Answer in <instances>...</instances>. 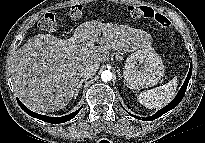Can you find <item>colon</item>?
Instances as JSON below:
<instances>
[{"mask_svg": "<svg viewBox=\"0 0 205 143\" xmlns=\"http://www.w3.org/2000/svg\"><path fill=\"white\" fill-rule=\"evenodd\" d=\"M128 12L133 18H147L154 20L162 27H169L170 20L161 13L155 12L152 8L140 5L128 6ZM83 6L73 5L68 10V17L72 20H78L82 17ZM39 26L42 30L53 31L56 29L57 21L53 13H46L39 21Z\"/></svg>", "mask_w": 205, "mask_h": 143, "instance_id": "1", "label": "colon"}]
</instances>
